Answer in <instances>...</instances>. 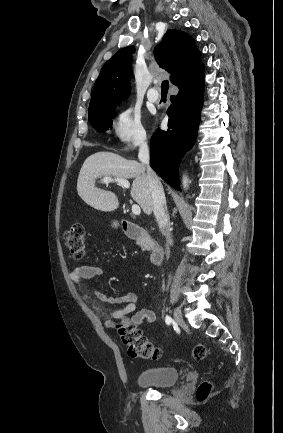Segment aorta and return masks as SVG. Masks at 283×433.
Here are the masks:
<instances>
[{"label": "aorta", "instance_id": "aorta-1", "mask_svg": "<svg viewBox=\"0 0 283 433\" xmlns=\"http://www.w3.org/2000/svg\"><path fill=\"white\" fill-rule=\"evenodd\" d=\"M183 187L184 188L188 187V178L186 176L183 177Z\"/></svg>", "mask_w": 283, "mask_h": 433}]
</instances>
